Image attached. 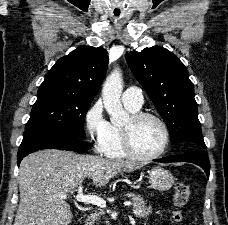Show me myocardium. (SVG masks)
Instances as JSON below:
<instances>
[{
	"instance_id": "obj_1",
	"label": "myocardium",
	"mask_w": 228,
	"mask_h": 225,
	"mask_svg": "<svg viewBox=\"0 0 228 225\" xmlns=\"http://www.w3.org/2000/svg\"><path fill=\"white\" fill-rule=\"evenodd\" d=\"M148 118L154 119L160 123V125L164 130V136H165L164 144L161 150L153 155L142 154L135 145L134 135H133V127ZM123 141L127 152L132 157L140 160L151 161V160L158 159L165 154L170 143V130L165 120L161 118L159 115L148 113V112H137L132 114L129 125H125L123 127Z\"/></svg>"
}]
</instances>
